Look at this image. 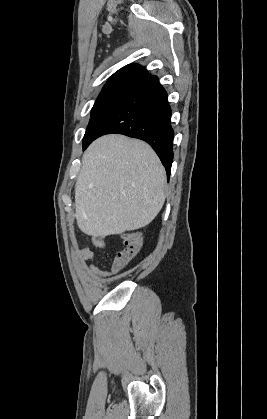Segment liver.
<instances>
[{"instance_id":"liver-1","label":"liver","mask_w":267,"mask_h":419,"mask_svg":"<svg viewBox=\"0 0 267 419\" xmlns=\"http://www.w3.org/2000/svg\"><path fill=\"white\" fill-rule=\"evenodd\" d=\"M166 172L145 142L111 134L85 151L76 182L75 218L80 230L100 237L149 224L164 201Z\"/></svg>"}]
</instances>
